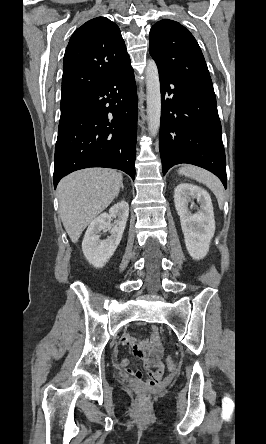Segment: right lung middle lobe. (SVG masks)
<instances>
[{"label": "right lung middle lobe", "mask_w": 266, "mask_h": 444, "mask_svg": "<svg viewBox=\"0 0 266 444\" xmlns=\"http://www.w3.org/2000/svg\"><path fill=\"white\" fill-rule=\"evenodd\" d=\"M76 101H61V111L66 110L67 108H69L72 104H74Z\"/></svg>", "instance_id": "dd1d6c3e"}]
</instances>
